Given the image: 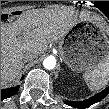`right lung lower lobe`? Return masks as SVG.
I'll list each match as a JSON object with an SVG mask.
<instances>
[{"mask_svg":"<svg viewBox=\"0 0 109 109\" xmlns=\"http://www.w3.org/2000/svg\"><path fill=\"white\" fill-rule=\"evenodd\" d=\"M18 91V87L1 90V100L14 95Z\"/></svg>","mask_w":109,"mask_h":109,"instance_id":"right-lung-lower-lobe-1","label":"right lung lower lobe"}]
</instances>
